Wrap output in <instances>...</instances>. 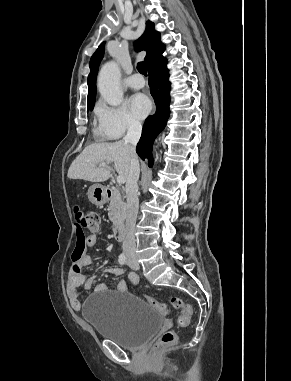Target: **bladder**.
Here are the masks:
<instances>
[{"label": "bladder", "instance_id": "1", "mask_svg": "<svg viewBox=\"0 0 291 381\" xmlns=\"http://www.w3.org/2000/svg\"><path fill=\"white\" fill-rule=\"evenodd\" d=\"M82 318L99 337L126 349H138L163 327L164 319L143 298L118 291L113 296L91 295L82 309Z\"/></svg>", "mask_w": 291, "mask_h": 381}]
</instances>
